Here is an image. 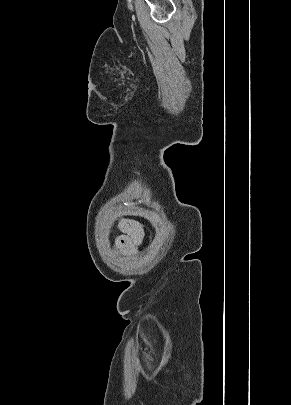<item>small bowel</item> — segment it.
I'll return each instance as SVG.
<instances>
[{
	"instance_id": "c3829d8e",
	"label": "small bowel",
	"mask_w": 291,
	"mask_h": 405,
	"mask_svg": "<svg viewBox=\"0 0 291 405\" xmlns=\"http://www.w3.org/2000/svg\"><path fill=\"white\" fill-rule=\"evenodd\" d=\"M123 234L117 238V247L123 254L133 255L137 251L143 232L139 224L134 222H125L121 228Z\"/></svg>"
}]
</instances>
